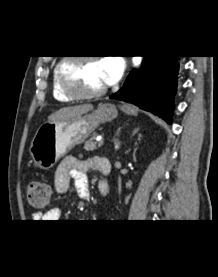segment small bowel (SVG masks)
Here are the masks:
<instances>
[{"label":"small bowel","instance_id":"small-bowel-1","mask_svg":"<svg viewBox=\"0 0 218 277\" xmlns=\"http://www.w3.org/2000/svg\"><path fill=\"white\" fill-rule=\"evenodd\" d=\"M102 157L89 159H80L76 157H67L58 165L55 175L54 184L58 193H65L73 180L75 190L79 198L83 201L90 199L86 174L91 170H98L103 174L110 172V164L100 161ZM60 208H53L44 213L36 212L33 219L36 222H55L61 216Z\"/></svg>","mask_w":218,"mask_h":277}]
</instances>
